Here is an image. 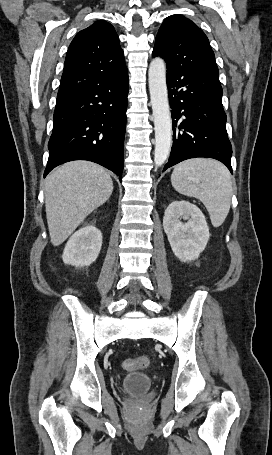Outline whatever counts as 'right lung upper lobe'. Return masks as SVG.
<instances>
[{
    "label": "right lung upper lobe",
    "instance_id": "right-lung-upper-lobe-1",
    "mask_svg": "<svg viewBox=\"0 0 272 455\" xmlns=\"http://www.w3.org/2000/svg\"><path fill=\"white\" fill-rule=\"evenodd\" d=\"M125 74L124 53L114 27L106 21H95L71 42L57 97Z\"/></svg>",
    "mask_w": 272,
    "mask_h": 455
}]
</instances>
